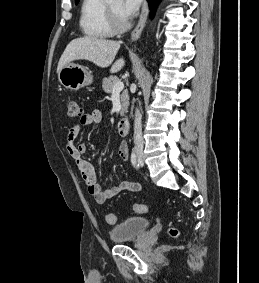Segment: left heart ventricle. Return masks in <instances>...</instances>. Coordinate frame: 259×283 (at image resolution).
Here are the masks:
<instances>
[{"instance_id": "obj_1", "label": "left heart ventricle", "mask_w": 259, "mask_h": 283, "mask_svg": "<svg viewBox=\"0 0 259 283\" xmlns=\"http://www.w3.org/2000/svg\"><path fill=\"white\" fill-rule=\"evenodd\" d=\"M110 5L121 14V0H111ZM122 15V14H121ZM123 16V15H122Z\"/></svg>"}]
</instances>
